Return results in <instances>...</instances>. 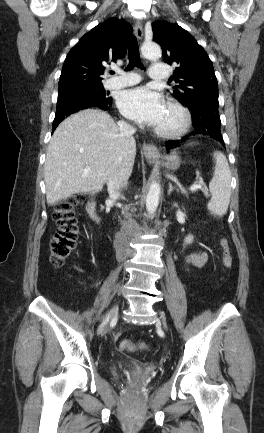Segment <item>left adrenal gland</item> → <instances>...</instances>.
<instances>
[{"label":"left adrenal gland","mask_w":264,"mask_h":433,"mask_svg":"<svg viewBox=\"0 0 264 433\" xmlns=\"http://www.w3.org/2000/svg\"><path fill=\"white\" fill-rule=\"evenodd\" d=\"M168 185H169L168 196L172 193V191H174V190L178 191L179 190L177 187H174L171 182Z\"/></svg>","instance_id":"obj_1"}]
</instances>
